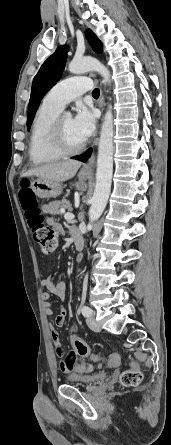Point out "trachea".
Masks as SVG:
<instances>
[{"label": "trachea", "mask_w": 171, "mask_h": 445, "mask_svg": "<svg viewBox=\"0 0 171 445\" xmlns=\"http://www.w3.org/2000/svg\"><path fill=\"white\" fill-rule=\"evenodd\" d=\"M99 95H100V90H99L98 88H95V89L92 91V96H93V97H99Z\"/></svg>", "instance_id": "3493384b"}]
</instances>
